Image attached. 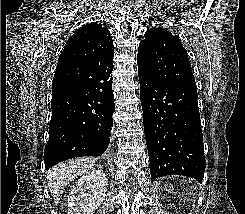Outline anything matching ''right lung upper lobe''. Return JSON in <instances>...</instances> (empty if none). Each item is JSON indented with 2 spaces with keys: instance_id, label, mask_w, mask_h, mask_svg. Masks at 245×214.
<instances>
[{
  "instance_id": "right-lung-upper-lobe-1",
  "label": "right lung upper lobe",
  "mask_w": 245,
  "mask_h": 214,
  "mask_svg": "<svg viewBox=\"0 0 245 214\" xmlns=\"http://www.w3.org/2000/svg\"><path fill=\"white\" fill-rule=\"evenodd\" d=\"M114 45L108 29L91 23L78 29L61 53L53 90L76 92L87 87L95 69L113 65Z\"/></svg>"
}]
</instances>
